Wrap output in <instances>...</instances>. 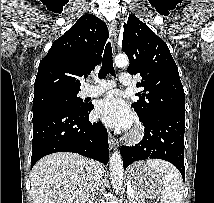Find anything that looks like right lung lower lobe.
Returning <instances> with one entry per match:
<instances>
[{
	"label": "right lung lower lobe",
	"mask_w": 214,
	"mask_h": 203,
	"mask_svg": "<svg viewBox=\"0 0 214 203\" xmlns=\"http://www.w3.org/2000/svg\"><path fill=\"white\" fill-rule=\"evenodd\" d=\"M93 108H54L33 115L31 168L55 152H74L107 164L108 135L102 122L89 121Z\"/></svg>",
	"instance_id": "obj_1"
}]
</instances>
